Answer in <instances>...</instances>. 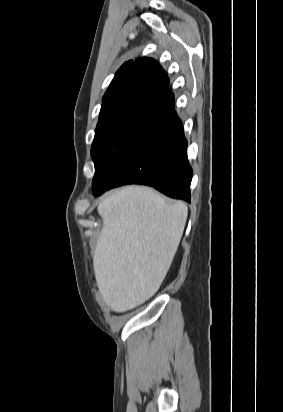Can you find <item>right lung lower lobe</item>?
Instances as JSON below:
<instances>
[{
    "mask_svg": "<svg viewBox=\"0 0 283 412\" xmlns=\"http://www.w3.org/2000/svg\"><path fill=\"white\" fill-rule=\"evenodd\" d=\"M192 175L183 126L173 105L165 116L147 128L139 140L93 183L92 192L99 195L121 185L143 184L152 186L169 197L190 202Z\"/></svg>",
    "mask_w": 283,
    "mask_h": 412,
    "instance_id": "obj_1",
    "label": "right lung lower lobe"
}]
</instances>
